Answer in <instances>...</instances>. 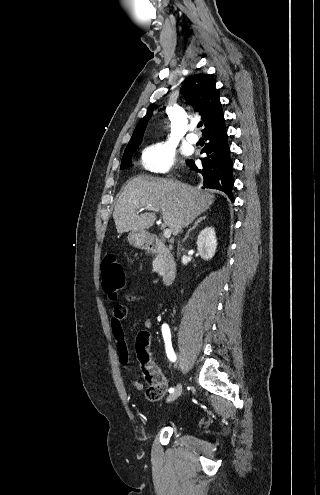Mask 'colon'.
Segmentation results:
<instances>
[{
	"instance_id": "5ec220e1",
	"label": "colon",
	"mask_w": 320,
	"mask_h": 495,
	"mask_svg": "<svg viewBox=\"0 0 320 495\" xmlns=\"http://www.w3.org/2000/svg\"><path fill=\"white\" fill-rule=\"evenodd\" d=\"M102 286L105 292L112 298H116L119 291L125 286V274L117 256L108 254L101 264ZM117 308L120 305L116 306ZM149 334L141 332L136 339V351L140 363L144 368L151 366L149 353ZM148 388L145 396L149 401H157L163 397L166 391V382L162 375L149 374L147 377Z\"/></svg>"
}]
</instances>
